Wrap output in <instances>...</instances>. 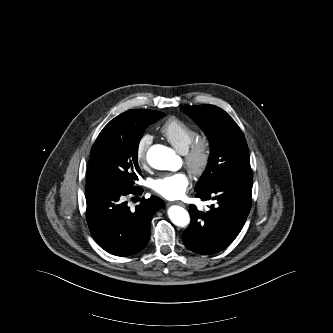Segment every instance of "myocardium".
I'll return each mask as SVG.
<instances>
[{"label":"myocardium","mask_w":333,"mask_h":333,"mask_svg":"<svg viewBox=\"0 0 333 333\" xmlns=\"http://www.w3.org/2000/svg\"><path fill=\"white\" fill-rule=\"evenodd\" d=\"M212 156V144L208 137H198L184 153L189 171L195 176L203 175L209 167Z\"/></svg>","instance_id":"myocardium-1"}]
</instances>
